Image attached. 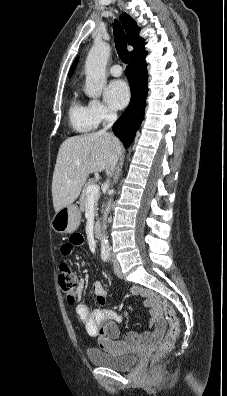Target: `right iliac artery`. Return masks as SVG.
Listing matches in <instances>:
<instances>
[{
  "mask_svg": "<svg viewBox=\"0 0 227 396\" xmlns=\"http://www.w3.org/2000/svg\"><path fill=\"white\" fill-rule=\"evenodd\" d=\"M108 258H109V254H103V255H102V260H103L104 262H106V261L108 260Z\"/></svg>",
  "mask_w": 227,
  "mask_h": 396,
  "instance_id": "1",
  "label": "right iliac artery"
}]
</instances>
